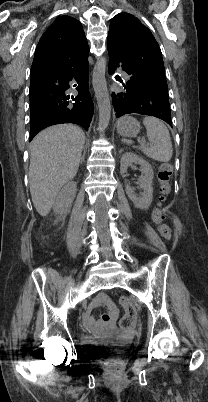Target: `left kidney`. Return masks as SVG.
I'll use <instances>...</instances> for the list:
<instances>
[{"mask_svg":"<svg viewBox=\"0 0 208 402\" xmlns=\"http://www.w3.org/2000/svg\"><path fill=\"white\" fill-rule=\"evenodd\" d=\"M133 162L134 164H139L141 168L140 172H142V176H139L138 184H140V188H142L143 192H141V196H136V194H134V188L126 184V194L128 198L132 200L135 208L148 210L153 198V170L148 162H145L143 158H140V156H137L134 152H125L120 162V174H126L128 166H132Z\"/></svg>","mask_w":208,"mask_h":402,"instance_id":"obj_1","label":"left kidney"}]
</instances>
